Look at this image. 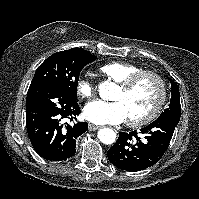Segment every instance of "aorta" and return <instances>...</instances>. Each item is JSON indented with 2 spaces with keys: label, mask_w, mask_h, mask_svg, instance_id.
<instances>
[{
  "label": "aorta",
  "mask_w": 199,
  "mask_h": 199,
  "mask_svg": "<svg viewBox=\"0 0 199 199\" xmlns=\"http://www.w3.org/2000/svg\"><path fill=\"white\" fill-rule=\"evenodd\" d=\"M114 88V84L105 81L99 85V94L103 99H109V93ZM98 139L104 144H112L115 142L116 134L110 128H102L98 131Z\"/></svg>",
  "instance_id": "762f6f07"
}]
</instances>
